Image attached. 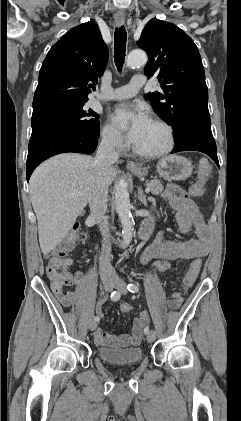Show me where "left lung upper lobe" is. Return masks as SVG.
I'll return each instance as SVG.
<instances>
[{"instance_id": "5c2ea615", "label": "left lung upper lobe", "mask_w": 241, "mask_h": 421, "mask_svg": "<svg viewBox=\"0 0 241 421\" xmlns=\"http://www.w3.org/2000/svg\"><path fill=\"white\" fill-rule=\"evenodd\" d=\"M137 44L148 54L145 74L157 77L163 90L144 98L172 126L175 141L198 120L210 119L204 67L193 40L176 25L153 18Z\"/></svg>"}]
</instances>
